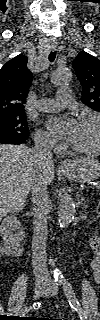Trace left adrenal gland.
I'll return each instance as SVG.
<instances>
[{
  "instance_id": "1",
  "label": "left adrenal gland",
  "mask_w": 100,
  "mask_h": 320,
  "mask_svg": "<svg viewBox=\"0 0 100 320\" xmlns=\"http://www.w3.org/2000/svg\"><path fill=\"white\" fill-rule=\"evenodd\" d=\"M78 196V199L80 198V194H78L77 195ZM81 204H83L85 207H87V205H85L86 204V200H85V198L84 197H81Z\"/></svg>"
}]
</instances>
